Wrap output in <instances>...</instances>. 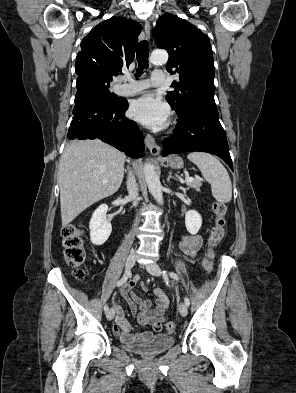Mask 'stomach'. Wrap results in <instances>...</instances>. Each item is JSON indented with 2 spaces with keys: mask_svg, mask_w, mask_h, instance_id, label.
Returning <instances> with one entry per match:
<instances>
[{
  "mask_svg": "<svg viewBox=\"0 0 296 393\" xmlns=\"http://www.w3.org/2000/svg\"><path fill=\"white\" fill-rule=\"evenodd\" d=\"M167 166L173 169H181L184 166L183 159L179 156L173 155L167 158L166 160Z\"/></svg>",
  "mask_w": 296,
  "mask_h": 393,
  "instance_id": "0dacf381",
  "label": "stomach"
}]
</instances>
